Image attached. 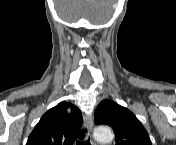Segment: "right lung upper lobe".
<instances>
[{"mask_svg": "<svg viewBox=\"0 0 176 145\" xmlns=\"http://www.w3.org/2000/svg\"><path fill=\"white\" fill-rule=\"evenodd\" d=\"M68 107L72 108L71 114L67 113ZM82 120L76 106L59 103L42 116L29 135L27 145H72L76 138L84 137V132H79Z\"/></svg>", "mask_w": 176, "mask_h": 145, "instance_id": "1", "label": "right lung upper lobe"}]
</instances>
